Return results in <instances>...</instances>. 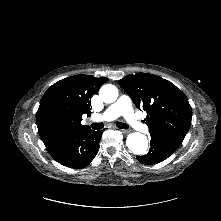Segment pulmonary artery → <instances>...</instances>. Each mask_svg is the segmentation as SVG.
Returning <instances> with one entry per match:
<instances>
[{
    "label": "pulmonary artery",
    "mask_w": 221,
    "mask_h": 221,
    "mask_svg": "<svg viewBox=\"0 0 221 221\" xmlns=\"http://www.w3.org/2000/svg\"><path fill=\"white\" fill-rule=\"evenodd\" d=\"M123 116L125 120L135 129H142L143 125L136 115L133 114L132 101L130 97L123 95L115 103L109 106L98 118L99 120L110 121Z\"/></svg>",
    "instance_id": "1"
}]
</instances>
